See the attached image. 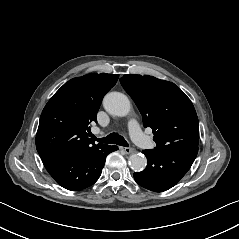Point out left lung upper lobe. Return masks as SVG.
I'll return each instance as SVG.
<instances>
[{"label":"left lung upper lobe","mask_w":239,"mask_h":239,"mask_svg":"<svg viewBox=\"0 0 239 239\" xmlns=\"http://www.w3.org/2000/svg\"><path fill=\"white\" fill-rule=\"evenodd\" d=\"M120 82L141 112L144 126L152 128L155 150L198 152V117L178 86L148 75H124Z\"/></svg>","instance_id":"5c2ea615"}]
</instances>
